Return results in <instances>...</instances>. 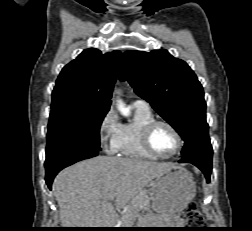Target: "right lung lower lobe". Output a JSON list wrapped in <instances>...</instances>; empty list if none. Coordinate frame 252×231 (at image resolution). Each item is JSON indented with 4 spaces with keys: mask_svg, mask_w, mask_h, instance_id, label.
Returning a JSON list of instances; mask_svg holds the SVG:
<instances>
[{
    "mask_svg": "<svg viewBox=\"0 0 252 231\" xmlns=\"http://www.w3.org/2000/svg\"><path fill=\"white\" fill-rule=\"evenodd\" d=\"M98 154H99V151L95 149H70V150L61 151L54 155L46 157L45 180L48 187L51 189V185H52L54 177L63 168L69 165H72L78 161L95 157Z\"/></svg>",
    "mask_w": 252,
    "mask_h": 231,
    "instance_id": "obj_1",
    "label": "right lung lower lobe"
}]
</instances>
